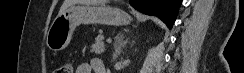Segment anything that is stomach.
<instances>
[{
    "mask_svg": "<svg viewBox=\"0 0 244 73\" xmlns=\"http://www.w3.org/2000/svg\"><path fill=\"white\" fill-rule=\"evenodd\" d=\"M131 17L121 9L106 5H71L58 15L51 24L46 44L52 51L65 49L72 38L74 29L84 24L128 25Z\"/></svg>",
    "mask_w": 244,
    "mask_h": 73,
    "instance_id": "stomach-1",
    "label": "stomach"
}]
</instances>
